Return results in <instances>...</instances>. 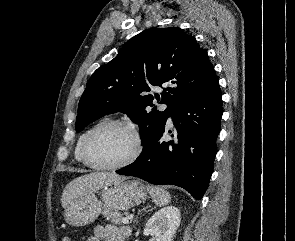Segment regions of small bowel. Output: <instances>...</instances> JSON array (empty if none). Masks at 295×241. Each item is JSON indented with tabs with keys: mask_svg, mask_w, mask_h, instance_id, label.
Wrapping results in <instances>:
<instances>
[{
	"mask_svg": "<svg viewBox=\"0 0 295 241\" xmlns=\"http://www.w3.org/2000/svg\"><path fill=\"white\" fill-rule=\"evenodd\" d=\"M131 230L127 227H116L113 225H98L94 228L93 235L87 241H127ZM63 241H68L63 239Z\"/></svg>",
	"mask_w": 295,
	"mask_h": 241,
	"instance_id": "small-bowel-1",
	"label": "small bowel"
}]
</instances>
